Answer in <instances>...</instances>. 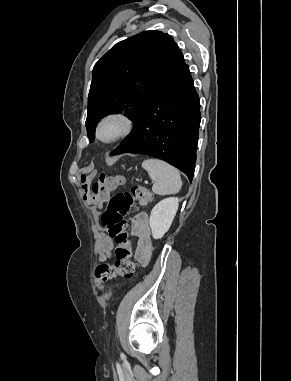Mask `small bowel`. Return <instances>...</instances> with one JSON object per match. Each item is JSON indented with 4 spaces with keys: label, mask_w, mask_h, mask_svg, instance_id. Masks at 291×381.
<instances>
[{
    "label": "small bowel",
    "mask_w": 291,
    "mask_h": 381,
    "mask_svg": "<svg viewBox=\"0 0 291 381\" xmlns=\"http://www.w3.org/2000/svg\"><path fill=\"white\" fill-rule=\"evenodd\" d=\"M132 231L137 237V259L145 264L151 256L150 225L148 215L145 212L136 214L132 220ZM113 250V242L107 235H101L99 239V256L101 260L110 258Z\"/></svg>",
    "instance_id": "1"
}]
</instances>
